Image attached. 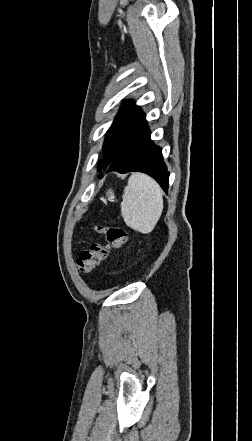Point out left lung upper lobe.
Segmentation results:
<instances>
[{
  "label": "left lung upper lobe",
  "mask_w": 252,
  "mask_h": 441,
  "mask_svg": "<svg viewBox=\"0 0 252 441\" xmlns=\"http://www.w3.org/2000/svg\"><path fill=\"white\" fill-rule=\"evenodd\" d=\"M142 111L132 102H127L120 109L113 124L108 130L103 145V159L99 162V168L111 163L117 154L127 132L141 115Z\"/></svg>",
  "instance_id": "1"
}]
</instances>
